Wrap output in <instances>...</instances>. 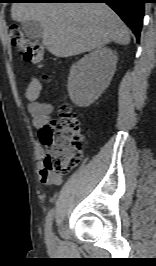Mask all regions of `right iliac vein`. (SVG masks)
<instances>
[{
    "instance_id": "63e3f726",
    "label": "right iliac vein",
    "mask_w": 156,
    "mask_h": 266,
    "mask_svg": "<svg viewBox=\"0 0 156 266\" xmlns=\"http://www.w3.org/2000/svg\"><path fill=\"white\" fill-rule=\"evenodd\" d=\"M54 239H55L54 235H53V234H51V235H50V237H49V241H50V242H53V241H54Z\"/></svg>"
}]
</instances>
